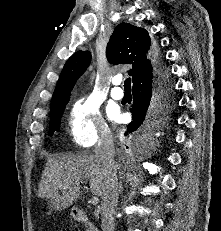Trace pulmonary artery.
<instances>
[{
  "instance_id": "e3ab8cb5",
  "label": "pulmonary artery",
  "mask_w": 221,
  "mask_h": 231,
  "mask_svg": "<svg viewBox=\"0 0 221 231\" xmlns=\"http://www.w3.org/2000/svg\"><path fill=\"white\" fill-rule=\"evenodd\" d=\"M120 83H121V78L120 77H115L113 79V84L115 86L111 89L110 95L115 100H121L123 98V96H124V93H123L122 89L119 87Z\"/></svg>"
}]
</instances>
